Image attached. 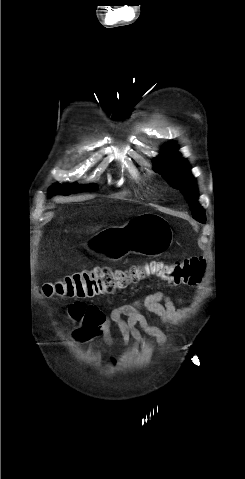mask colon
Instances as JSON below:
<instances>
[{
	"label": "colon",
	"mask_w": 245,
	"mask_h": 479,
	"mask_svg": "<svg viewBox=\"0 0 245 479\" xmlns=\"http://www.w3.org/2000/svg\"><path fill=\"white\" fill-rule=\"evenodd\" d=\"M205 266V259L195 256L171 263L152 261L147 266H134L129 269L98 267L48 282L43 285L42 293L46 297L92 298L123 290L148 275L175 285H196L204 275ZM68 316L79 324L85 322L86 304L74 303L68 309Z\"/></svg>",
	"instance_id": "colon-1"
}]
</instances>
